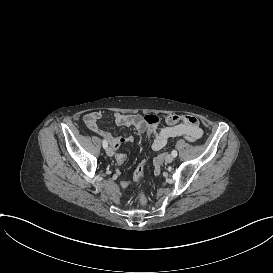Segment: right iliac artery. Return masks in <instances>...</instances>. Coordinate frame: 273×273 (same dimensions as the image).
Wrapping results in <instances>:
<instances>
[{
	"mask_svg": "<svg viewBox=\"0 0 273 273\" xmlns=\"http://www.w3.org/2000/svg\"><path fill=\"white\" fill-rule=\"evenodd\" d=\"M102 145H103V148H104V149L107 148V147H108L107 141H106V140H103Z\"/></svg>",
	"mask_w": 273,
	"mask_h": 273,
	"instance_id": "right-iliac-artery-1",
	"label": "right iliac artery"
}]
</instances>
